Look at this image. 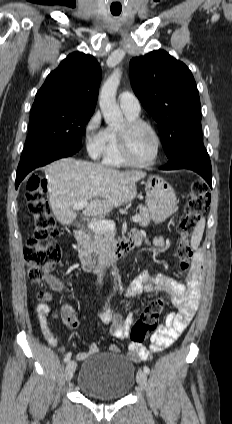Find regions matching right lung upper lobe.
<instances>
[{
    "label": "right lung upper lobe",
    "mask_w": 232,
    "mask_h": 424,
    "mask_svg": "<svg viewBox=\"0 0 232 424\" xmlns=\"http://www.w3.org/2000/svg\"><path fill=\"white\" fill-rule=\"evenodd\" d=\"M101 68L91 55L74 52L52 71L36 94L32 109L66 105L95 110Z\"/></svg>",
    "instance_id": "obj_1"
}]
</instances>
